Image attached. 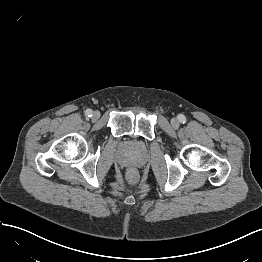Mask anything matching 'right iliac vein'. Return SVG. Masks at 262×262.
<instances>
[{
	"mask_svg": "<svg viewBox=\"0 0 262 262\" xmlns=\"http://www.w3.org/2000/svg\"><path fill=\"white\" fill-rule=\"evenodd\" d=\"M99 117H100V112L95 111L94 114H93V119L97 120V119H99Z\"/></svg>",
	"mask_w": 262,
	"mask_h": 262,
	"instance_id": "obj_1",
	"label": "right iliac vein"
}]
</instances>
